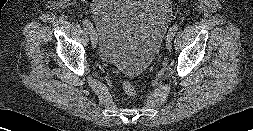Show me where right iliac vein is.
Here are the masks:
<instances>
[{
    "mask_svg": "<svg viewBox=\"0 0 253 131\" xmlns=\"http://www.w3.org/2000/svg\"><path fill=\"white\" fill-rule=\"evenodd\" d=\"M89 34H90V39H91V45L93 48H96L97 46V34L94 30V28L91 27V29L89 30Z\"/></svg>",
    "mask_w": 253,
    "mask_h": 131,
    "instance_id": "obj_1",
    "label": "right iliac vein"
}]
</instances>
